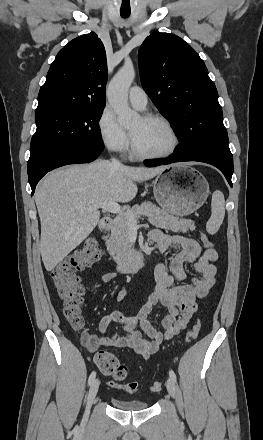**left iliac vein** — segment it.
I'll return each instance as SVG.
<instances>
[{
	"label": "left iliac vein",
	"instance_id": "1",
	"mask_svg": "<svg viewBox=\"0 0 263 440\" xmlns=\"http://www.w3.org/2000/svg\"><path fill=\"white\" fill-rule=\"evenodd\" d=\"M166 387H167L169 394L172 397H175L176 396V385H175V382L171 378L167 379Z\"/></svg>",
	"mask_w": 263,
	"mask_h": 440
}]
</instances>
